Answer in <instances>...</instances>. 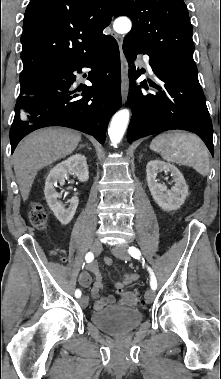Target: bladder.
<instances>
[{"label":"bladder","instance_id":"bladder-1","mask_svg":"<svg viewBox=\"0 0 221 379\" xmlns=\"http://www.w3.org/2000/svg\"><path fill=\"white\" fill-rule=\"evenodd\" d=\"M142 313L134 308L110 306L91 314L92 323L112 336H124L142 322Z\"/></svg>","mask_w":221,"mask_h":379}]
</instances>
